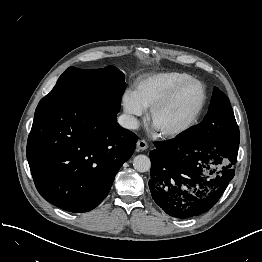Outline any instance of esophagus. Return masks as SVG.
<instances>
[{
    "mask_svg": "<svg viewBox=\"0 0 262 262\" xmlns=\"http://www.w3.org/2000/svg\"><path fill=\"white\" fill-rule=\"evenodd\" d=\"M148 148V144L145 140H138L137 141V149L139 151H144Z\"/></svg>",
    "mask_w": 262,
    "mask_h": 262,
    "instance_id": "obj_1",
    "label": "esophagus"
}]
</instances>
